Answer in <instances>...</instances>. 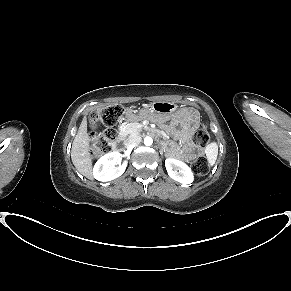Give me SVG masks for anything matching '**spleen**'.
I'll return each instance as SVG.
<instances>
[{"instance_id":"3e777b00","label":"spleen","mask_w":291,"mask_h":291,"mask_svg":"<svg viewBox=\"0 0 291 291\" xmlns=\"http://www.w3.org/2000/svg\"><path fill=\"white\" fill-rule=\"evenodd\" d=\"M205 153L210 165H214L218 156V145L213 142L206 146Z\"/></svg>"}]
</instances>
